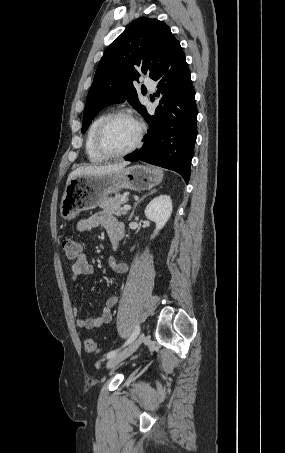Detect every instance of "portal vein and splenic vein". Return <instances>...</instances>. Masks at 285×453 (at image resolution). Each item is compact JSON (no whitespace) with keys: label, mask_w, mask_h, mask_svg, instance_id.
<instances>
[{"label":"portal vein and splenic vein","mask_w":285,"mask_h":453,"mask_svg":"<svg viewBox=\"0 0 285 453\" xmlns=\"http://www.w3.org/2000/svg\"><path fill=\"white\" fill-rule=\"evenodd\" d=\"M123 209H125V210H130V209H131V206L128 205V204H126V205L123 206Z\"/></svg>","instance_id":"1"}]
</instances>
